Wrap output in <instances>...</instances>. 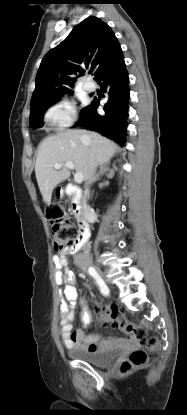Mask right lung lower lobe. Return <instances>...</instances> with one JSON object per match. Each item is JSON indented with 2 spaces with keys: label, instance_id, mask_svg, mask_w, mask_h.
Segmentation results:
<instances>
[{
  "label": "right lung lower lobe",
  "instance_id": "1",
  "mask_svg": "<svg viewBox=\"0 0 187 415\" xmlns=\"http://www.w3.org/2000/svg\"><path fill=\"white\" fill-rule=\"evenodd\" d=\"M101 90L107 94L104 113L99 114V100H94L81 111L76 125L93 130L124 145L126 117L128 115L129 78L122 52L95 78Z\"/></svg>",
  "mask_w": 187,
  "mask_h": 415
}]
</instances>
